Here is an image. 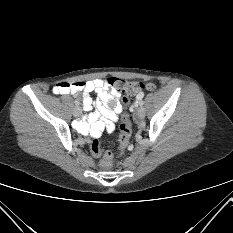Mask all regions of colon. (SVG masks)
<instances>
[{
    "mask_svg": "<svg viewBox=\"0 0 233 233\" xmlns=\"http://www.w3.org/2000/svg\"><path fill=\"white\" fill-rule=\"evenodd\" d=\"M108 84L117 92L122 94V103L124 107H128L131 103L132 97L142 92L143 90H153V84H144L141 82H130L123 79L111 77L108 79ZM120 135L118 140L119 154H123L127 148L131 138V126L128 120V116L125 115L124 121L120 124ZM90 149L93 155L100 156L102 154V148L98 139H93L90 145ZM113 155L111 152L104 154L101 165L108 168L112 165Z\"/></svg>",
    "mask_w": 233,
    "mask_h": 233,
    "instance_id": "colon-1",
    "label": "colon"
}]
</instances>
